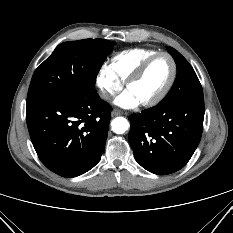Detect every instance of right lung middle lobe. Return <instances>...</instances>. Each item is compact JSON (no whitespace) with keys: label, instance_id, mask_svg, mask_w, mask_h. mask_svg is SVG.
Wrapping results in <instances>:
<instances>
[{"label":"right lung middle lobe","instance_id":"dd1d6c3e","mask_svg":"<svg viewBox=\"0 0 233 233\" xmlns=\"http://www.w3.org/2000/svg\"><path fill=\"white\" fill-rule=\"evenodd\" d=\"M115 42L85 39L64 42L35 70L27 104L94 88L97 74Z\"/></svg>","mask_w":233,"mask_h":233}]
</instances>
